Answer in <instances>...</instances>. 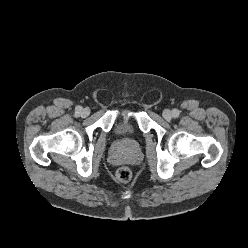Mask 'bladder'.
<instances>
[{"label": "bladder", "mask_w": 248, "mask_h": 248, "mask_svg": "<svg viewBox=\"0 0 248 248\" xmlns=\"http://www.w3.org/2000/svg\"><path fill=\"white\" fill-rule=\"evenodd\" d=\"M114 130L118 135L131 134L135 130V126L130 119H120L115 122Z\"/></svg>", "instance_id": "31cf9c89"}]
</instances>
